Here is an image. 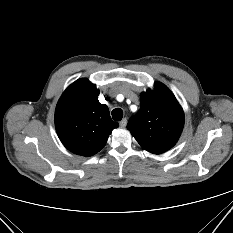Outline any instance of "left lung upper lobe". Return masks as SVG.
<instances>
[{
    "label": "left lung upper lobe",
    "mask_w": 233,
    "mask_h": 233,
    "mask_svg": "<svg viewBox=\"0 0 233 233\" xmlns=\"http://www.w3.org/2000/svg\"><path fill=\"white\" fill-rule=\"evenodd\" d=\"M184 125V113L173 93L162 83L141 94V106L129 119L127 129L141 147L161 154L177 142Z\"/></svg>",
    "instance_id": "obj_1"
}]
</instances>
